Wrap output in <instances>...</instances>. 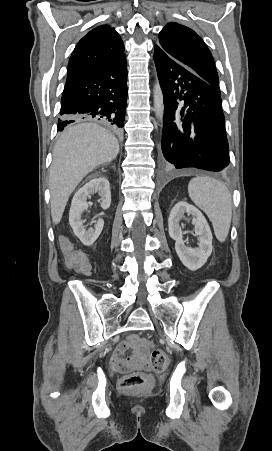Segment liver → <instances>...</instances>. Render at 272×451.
Listing matches in <instances>:
<instances>
[{
    "label": "liver",
    "mask_w": 272,
    "mask_h": 451,
    "mask_svg": "<svg viewBox=\"0 0 272 451\" xmlns=\"http://www.w3.org/2000/svg\"><path fill=\"white\" fill-rule=\"evenodd\" d=\"M78 120L81 124L66 128L53 150L49 190L54 224H59L69 196L79 182L96 166L112 162L119 152L118 140L109 130Z\"/></svg>",
    "instance_id": "liver-1"
}]
</instances>
